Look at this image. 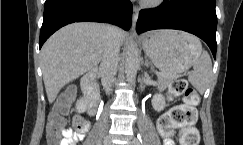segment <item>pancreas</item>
<instances>
[{
    "label": "pancreas",
    "instance_id": "obj_1",
    "mask_svg": "<svg viewBox=\"0 0 243 145\" xmlns=\"http://www.w3.org/2000/svg\"><path fill=\"white\" fill-rule=\"evenodd\" d=\"M173 79L172 75L162 74L158 77V82L162 86H167Z\"/></svg>",
    "mask_w": 243,
    "mask_h": 145
}]
</instances>
